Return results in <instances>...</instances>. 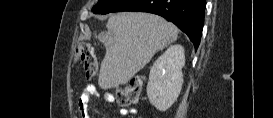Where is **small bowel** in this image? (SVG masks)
I'll list each match as a JSON object with an SVG mask.
<instances>
[{
  "label": "small bowel",
  "instance_id": "c3829d8e",
  "mask_svg": "<svg viewBox=\"0 0 273 118\" xmlns=\"http://www.w3.org/2000/svg\"><path fill=\"white\" fill-rule=\"evenodd\" d=\"M97 90L93 85H87L84 89L83 92L78 100L77 107H78V112L82 118H89V113H88V105L90 100L97 95ZM104 101L111 103L113 101V96L111 94H104L103 95ZM137 113L136 109H128V108H121L119 109V116H127V115H134Z\"/></svg>",
  "mask_w": 273,
  "mask_h": 118
}]
</instances>
